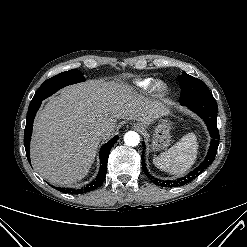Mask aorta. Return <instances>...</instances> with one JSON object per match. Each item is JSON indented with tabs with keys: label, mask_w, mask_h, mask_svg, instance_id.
I'll use <instances>...</instances> for the list:
<instances>
[{
	"label": "aorta",
	"mask_w": 247,
	"mask_h": 247,
	"mask_svg": "<svg viewBox=\"0 0 247 247\" xmlns=\"http://www.w3.org/2000/svg\"><path fill=\"white\" fill-rule=\"evenodd\" d=\"M124 142L128 146H137L140 142V136L134 131H129L124 136Z\"/></svg>",
	"instance_id": "obj_1"
}]
</instances>
